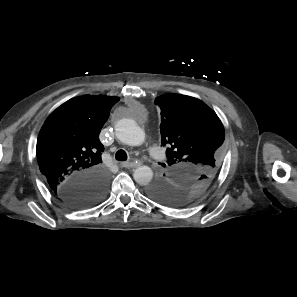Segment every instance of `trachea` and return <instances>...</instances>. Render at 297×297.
I'll return each instance as SVG.
<instances>
[{
	"instance_id": "obj_1",
	"label": "trachea",
	"mask_w": 297,
	"mask_h": 297,
	"mask_svg": "<svg viewBox=\"0 0 297 297\" xmlns=\"http://www.w3.org/2000/svg\"><path fill=\"white\" fill-rule=\"evenodd\" d=\"M115 158L120 161H125L127 160V153L124 150L120 149L116 152Z\"/></svg>"
}]
</instances>
